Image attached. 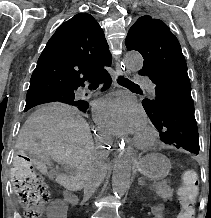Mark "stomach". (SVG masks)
Masks as SVG:
<instances>
[{
	"mask_svg": "<svg viewBox=\"0 0 211 218\" xmlns=\"http://www.w3.org/2000/svg\"><path fill=\"white\" fill-rule=\"evenodd\" d=\"M170 169V160L159 153L146 155L137 165L138 172L156 181L164 179L168 175Z\"/></svg>",
	"mask_w": 211,
	"mask_h": 218,
	"instance_id": "stomach-1",
	"label": "stomach"
}]
</instances>
